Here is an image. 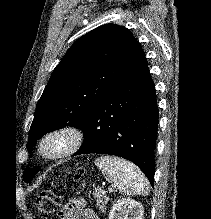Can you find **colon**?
I'll use <instances>...</instances> for the list:
<instances>
[{"label":"colon","instance_id":"colon-1","mask_svg":"<svg viewBox=\"0 0 211 219\" xmlns=\"http://www.w3.org/2000/svg\"><path fill=\"white\" fill-rule=\"evenodd\" d=\"M74 175L76 179V191L75 194L72 195V198L75 197L84 185V172L82 170H76ZM65 194V186L62 183H55L48 190L39 193L34 198L33 205L37 209L39 215L42 218L47 219L59 210Z\"/></svg>","mask_w":211,"mask_h":219}]
</instances>
